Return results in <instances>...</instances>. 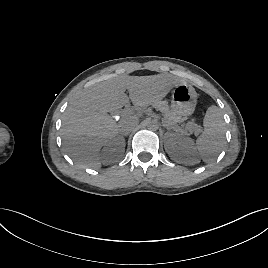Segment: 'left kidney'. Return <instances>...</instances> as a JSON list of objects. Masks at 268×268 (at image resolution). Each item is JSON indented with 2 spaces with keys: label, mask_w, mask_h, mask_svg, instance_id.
<instances>
[{
  "label": "left kidney",
  "mask_w": 268,
  "mask_h": 268,
  "mask_svg": "<svg viewBox=\"0 0 268 268\" xmlns=\"http://www.w3.org/2000/svg\"><path fill=\"white\" fill-rule=\"evenodd\" d=\"M165 150L171 159L185 164H196L199 156L192 139L178 133H166Z\"/></svg>",
  "instance_id": "obj_1"
}]
</instances>
